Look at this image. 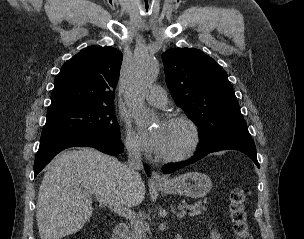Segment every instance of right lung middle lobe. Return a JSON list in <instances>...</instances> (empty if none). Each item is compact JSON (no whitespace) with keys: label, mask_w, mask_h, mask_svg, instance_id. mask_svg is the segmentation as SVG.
<instances>
[{"label":"right lung middle lobe","mask_w":304,"mask_h":239,"mask_svg":"<svg viewBox=\"0 0 304 239\" xmlns=\"http://www.w3.org/2000/svg\"><path fill=\"white\" fill-rule=\"evenodd\" d=\"M83 133L120 140L113 105L75 108L47 114L41 136Z\"/></svg>","instance_id":"right-lung-middle-lobe-1"}]
</instances>
